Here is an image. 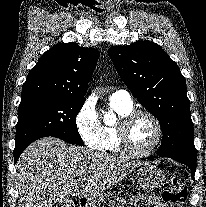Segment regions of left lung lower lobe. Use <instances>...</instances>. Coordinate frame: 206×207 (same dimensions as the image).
I'll list each match as a JSON object with an SVG mask.
<instances>
[{
	"label": "left lung lower lobe",
	"mask_w": 206,
	"mask_h": 207,
	"mask_svg": "<svg viewBox=\"0 0 206 207\" xmlns=\"http://www.w3.org/2000/svg\"><path fill=\"white\" fill-rule=\"evenodd\" d=\"M162 157H169V158H172L180 163L186 164L190 168L191 173H192V177L194 179V174L196 171V160H190V159L174 157V156H162Z\"/></svg>",
	"instance_id": "left-lung-lower-lobe-1"
}]
</instances>
